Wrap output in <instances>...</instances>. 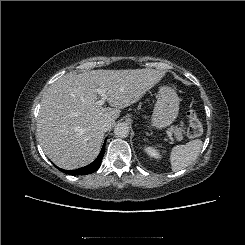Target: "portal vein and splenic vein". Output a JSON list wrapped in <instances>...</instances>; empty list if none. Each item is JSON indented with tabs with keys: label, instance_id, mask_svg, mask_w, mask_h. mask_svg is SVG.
I'll use <instances>...</instances> for the list:
<instances>
[{
	"label": "portal vein and splenic vein",
	"instance_id": "portal-vein-and-splenic-vein-1",
	"mask_svg": "<svg viewBox=\"0 0 245 245\" xmlns=\"http://www.w3.org/2000/svg\"><path fill=\"white\" fill-rule=\"evenodd\" d=\"M96 92L101 96V99L96 102V105L102 106L105 103V101L107 100V95H106L105 89L97 88ZM165 132L169 138H172V133L169 130H166Z\"/></svg>",
	"mask_w": 245,
	"mask_h": 245
}]
</instances>
